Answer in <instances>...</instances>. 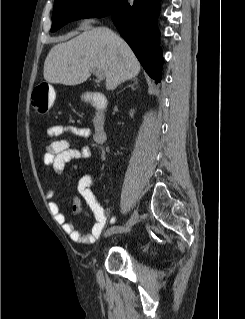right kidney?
Masks as SVG:
<instances>
[{
    "mask_svg": "<svg viewBox=\"0 0 245 319\" xmlns=\"http://www.w3.org/2000/svg\"><path fill=\"white\" fill-rule=\"evenodd\" d=\"M134 112H135L134 109L130 110L129 115H130L131 118L134 116Z\"/></svg>",
    "mask_w": 245,
    "mask_h": 319,
    "instance_id": "right-kidney-1",
    "label": "right kidney"
}]
</instances>
